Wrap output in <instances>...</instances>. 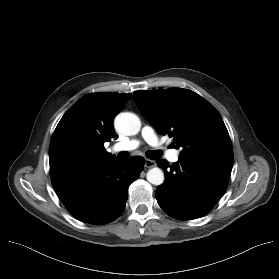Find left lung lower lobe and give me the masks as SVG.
<instances>
[{
	"label": "left lung lower lobe",
	"instance_id": "1",
	"mask_svg": "<svg viewBox=\"0 0 279 279\" xmlns=\"http://www.w3.org/2000/svg\"><path fill=\"white\" fill-rule=\"evenodd\" d=\"M165 181L155 196L159 206L171 217L191 220L208 213L227 188L233 163L179 158L169 166L160 159Z\"/></svg>",
	"mask_w": 279,
	"mask_h": 279
}]
</instances>
